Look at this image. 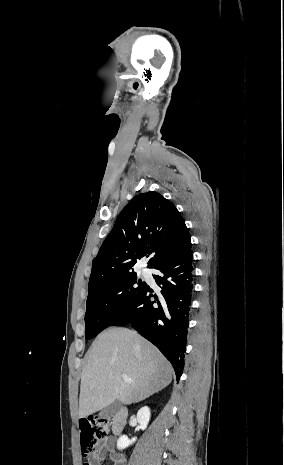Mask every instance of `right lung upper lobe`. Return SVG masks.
Segmentation results:
<instances>
[{
  "instance_id": "obj_1",
  "label": "right lung upper lobe",
  "mask_w": 284,
  "mask_h": 465,
  "mask_svg": "<svg viewBox=\"0 0 284 465\" xmlns=\"http://www.w3.org/2000/svg\"><path fill=\"white\" fill-rule=\"evenodd\" d=\"M190 238L180 212L156 192L136 195L124 208L92 264L88 289L131 272L150 254L148 268L177 251Z\"/></svg>"
}]
</instances>
